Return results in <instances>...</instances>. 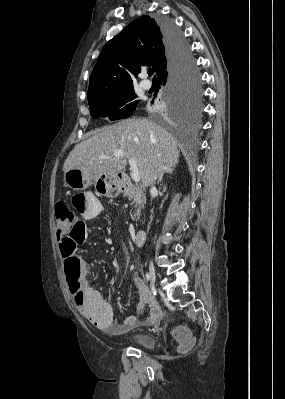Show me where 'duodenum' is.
<instances>
[{
	"label": "duodenum",
	"mask_w": 285,
	"mask_h": 399,
	"mask_svg": "<svg viewBox=\"0 0 285 399\" xmlns=\"http://www.w3.org/2000/svg\"><path fill=\"white\" fill-rule=\"evenodd\" d=\"M146 237H147V231L145 229H139L135 233L134 242L137 245H140L146 240Z\"/></svg>",
	"instance_id": "1"
}]
</instances>
